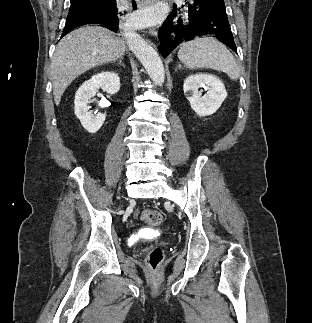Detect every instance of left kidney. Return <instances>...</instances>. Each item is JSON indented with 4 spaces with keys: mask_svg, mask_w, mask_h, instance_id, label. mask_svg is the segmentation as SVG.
I'll use <instances>...</instances> for the list:
<instances>
[{
    "mask_svg": "<svg viewBox=\"0 0 312 323\" xmlns=\"http://www.w3.org/2000/svg\"><path fill=\"white\" fill-rule=\"evenodd\" d=\"M199 88L207 90L205 96H202L204 90ZM184 94L198 116L214 114L227 96L224 84L211 74L188 76L184 82Z\"/></svg>",
    "mask_w": 312,
    "mask_h": 323,
    "instance_id": "left-kidney-1",
    "label": "left kidney"
}]
</instances>
